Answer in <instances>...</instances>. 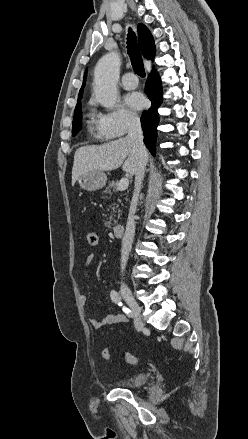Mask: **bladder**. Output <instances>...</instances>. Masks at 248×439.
<instances>
[{
    "mask_svg": "<svg viewBox=\"0 0 248 439\" xmlns=\"http://www.w3.org/2000/svg\"><path fill=\"white\" fill-rule=\"evenodd\" d=\"M148 380L147 373H135L116 381V385L120 388L132 389L144 385Z\"/></svg>",
    "mask_w": 248,
    "mask_h": 439,
    "instance_id": "bladder-1",
    "label": "bladder"
}]
</instances>
